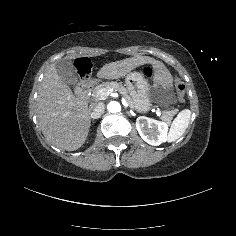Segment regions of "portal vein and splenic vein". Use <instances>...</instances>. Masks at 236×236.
Listing matches in <instances>:
<instances>
[{
	"instance_id": "obj_1",
	"label": "portal vein and splenic vein",
	"mask_w": 236,
	"mask_h": 236,
	"mask_svg": "<svg viewBox=\"0 0 236 236\" xmlns=\"http://www.w3.org/2000/svg\"><path fill=\"white\" fill-rule=\"evenodd\" d=\"M112 92H113V89H112V88H111V89H108V90H106V89H101V90H99V92H98V96H99V98H100L101 100H103V99H106ZM122 104H123L124 106H126V107L129 106V104L127 103V101H126L124 98H122ZM156 115H157V116H160V115H161V111H160V110H157V111H156Z\"/></svg>"
}]
</instances>
